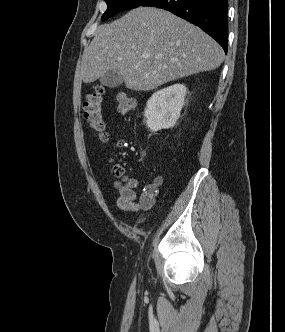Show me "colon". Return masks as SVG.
Masks as SVG:
<instances>
[{
  "instance_id": "colon-1",
  "label": "colon",
  "mask_w": 285,
  "mask_h": 332,
  "mask_svg": "<svg viewBox=\"0 0 285 332\" xmlns=\"http://www.w3.org/2000/svg\"><path fill=\"white\" fill-rule=\"evenodd\" d=\"M104 93L105 88L102 85H97L88 93L83 103V112L89 127L98 135L101 141L106 142L108 134L103 112ZM116 99L118 113L123 116L132 111L136 105L135 97L128 92L119 91ZM112 172L115 177H120L124 170L121 166L115 165Z\"/></svg>"
}]
</instances>
